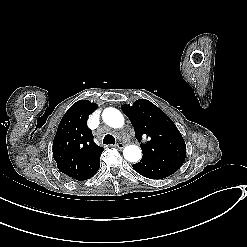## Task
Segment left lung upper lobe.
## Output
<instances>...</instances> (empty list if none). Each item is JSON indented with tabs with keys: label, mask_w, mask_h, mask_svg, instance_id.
Returning <instances> with one entry per match:
<instances>
[{
	"label": "left lung upper lobe",
	"mask_w": 247,
	"mask_h": 247,
	"mask_svg": "<svg viewBox=\"0 0 247 247\" xmlns=\"http://www.w3.org/2000/svg\"><path fill=\"white\" fill-rule=\"evenodd\" d=\"M122 110L131 121L136 139L141 143L142 157L156 159L179 169L186 156L184 139L174 122L156 105L139 99L132 106L122 105Z\"/></svg>",
	"instance_id": "1"
}]
</instances>
